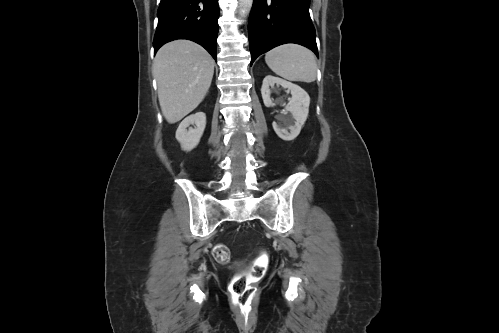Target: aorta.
Listing matches in <instances>:
<instances>
[{
  "mask_svg": "<svg viewBox=\"0 0 499 333\" xmlns=\"http://www.w3.org/2000/svg\"><path fill=\"white\" fill-rule=\"evenodd\" d=\"M252 4L253 0H239V16L245 18L249 14Z\"/></svg>",
  "mask_w": 499,
  "mask_h": 333,
  "instance_id": "762f6f07",
  "label": "aorta"
}]
</instances>
